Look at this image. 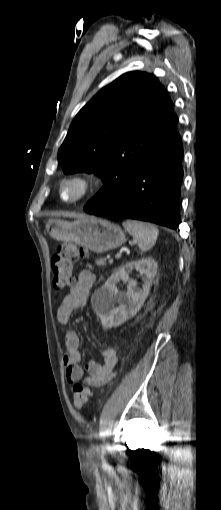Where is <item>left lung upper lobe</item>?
<instances>
[{"label": "left lung upper lobe", "instance_id": "left-lung-upper-lobe-1", "mask_svg": "<svg viewBox=\"0 0 221 510\" xmlns=\"http://www.w3.org/2000/svg\"><path fill=\"white\" fill-rule=\"evenodd\" d=\"M173 103L155 76L123 74L76 115L58 151L65 173L95 172L104 182L88 202L101 208L129 183L144 159L179 137Z\"/></svg>", "mask_w": 221, "mask_h": 510}]
</instances>
